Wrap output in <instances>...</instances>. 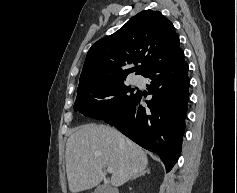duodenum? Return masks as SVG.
Here are the masks:
<instances>
[{"mask_svg":"<svg viewBox=\"0 0 237 193\" xmlns=\"http://www.w3.org/2000/svg\"><path fill=\"white\" fill-rule=\"evenodd\" d=\"M110 193H117V192H116V191H114V190H111V191H110Z\"/></svg>","mask_w":237,"mask_h":193,"instance_id":"1","label":"duodenum"}]
</instances>
